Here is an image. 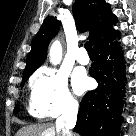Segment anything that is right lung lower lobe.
Returning <instances> with one entry per match:
<instances>
[{
  "instance_id": "obj_1",
  "label": "right lung lower lobe",
  "mask_w": 136,
  "mask_h": 136,
  "mask_svg": "<svg viewBox=\"0 0 136 136\" xmlns=\"http://www.w3.org/2000/svg\"><path fill=\"white\" fill-rule=\"evenodd\" d=\"M119 35L94 47L96 61L90 74L98 82L97 89L82 99L75 131L82 136H118L123 118L125 69L121 48L113 42Z\"/></svg>"
}]
</instances>
